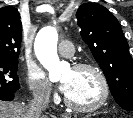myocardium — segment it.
Instances as JSON below:
<instances>
[{
  "instance_id": "f54148a6",
  "label": "myocardium",
  "mask_w": 133,
  "mask_h": 118,
  "mask_svg": "<svg viewBox=\"0 0 133 118\" xmlns=\"http://www.w3.org/2000/svg\"><path fill=\"white\" fill-rule=\"evenodd\" d=\"M72 69L93 71L96 74V76L100 82L101 95L95 103H93L91 105H87V106L76 105V104L72 103L67 98V96H65L64 97L65 106L68 109H70L71 111L77 112V113L94 112V111L100 109L102 106H104L106 104V102L108 101V98L110 95V88H109L108 80H107L104 72L101 70V68L99 66H97L96 64H93L90 62H77L73 65Z\"/></svg>"
}]
</instances>
